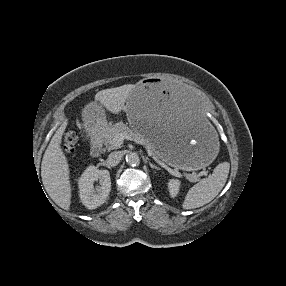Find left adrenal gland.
<instances>
[{
	"label": "left adrenal gland",
	"mask_w": 286,
	"mask_h": 286,
	"mask_svg": "<svg viewBox=\"0 0 286 286\" xmlns=\"http://www.w3.org/2000/svg\"><path fill=\"white\" fill-rule=\"evenodd\" d=\"M149 165H150V167H151L152 169L160 170L159 167H157L156 165H154V164H152V163H150V162H149Z\"/></svg>",
	"instance_id": "1"
}]
</instances>
